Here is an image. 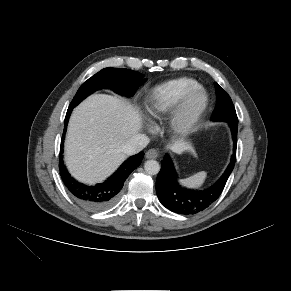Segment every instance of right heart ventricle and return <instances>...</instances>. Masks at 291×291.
<instances>
[{
	"label": "right heart ventricle",
	"instance_id": "e07e8e85",
	"mask_svg": "<svg viewBox=\"0 0 291 291\" xmlns=\"http://www.w3.org/2000/svg\"><path fill=\"white\" fill-rule=\"evenodd\" d=\"M199 85L197 80L189 77H181L157 85L146 96V112L155 120L163 118L175 108L187 92Z\"/></svg>",
	"mask_w": 291,
	"mask_h": 291
}]
</instances>
